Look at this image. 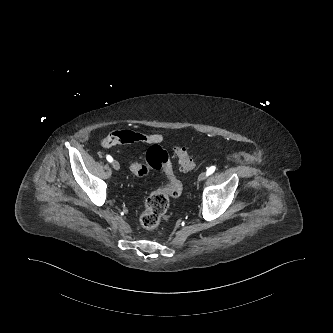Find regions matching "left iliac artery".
<instances>
[{
	"instance_id": "left-iliac-artery-1",
	"label": "left iliac artery",
	"mask_w": 333,
	"mask_h": 333,
	"mask_svg": "<svg viewBox=\"0 0 333 333\" xmlns=\"http://www.w3.org/2000/svg\"><path fill=\"white\" fill-rule=\"evenodd\" d=\"M216 167L215 166H211L207 169L206 175L209 176L211 175L214 171H215Z\"/></svg>"
}]
</instances>
